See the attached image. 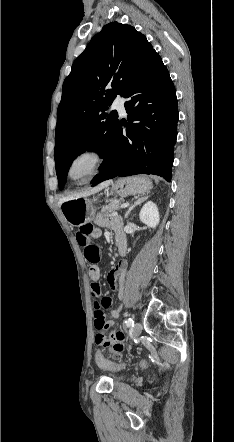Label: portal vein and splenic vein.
<instances>
[{
	"label": "portal vein and splenic vein",
	"instance_id": "1",
	"mask_svg": "<svg viewBox=\"0 0 234 442\" xmlns=\"http://www.w3.org/2000/svg\"><path fill=\"white\" fill-rule=\"evenodd\" d=\"M129 204L128 203H124L121 205V208L127 207Z\"/></svg>",
	"mask_w": 234,
	"mask_h": 442
}]
</instances>
